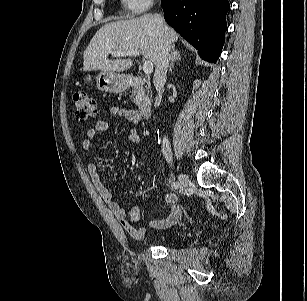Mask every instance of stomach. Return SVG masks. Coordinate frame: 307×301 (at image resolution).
<instances>
[{
  "instance_id": "1",
  "label": "stomach",
  "mask_w": 307,
  "mask_h": 301,
  "mask_svg": "<svg viewBox=\"0 0 307 301\" xmlns=\"http://www.w3.org/2000/svg\"><path fill=\"white\" fill-rule=\"evenodd\" d=\"M128 78L124 74L103 71L96 77L97 88L104 92L120 93L127 88ZM92 83V77H84V84Z\"/></svg>"
}]
</instances>
